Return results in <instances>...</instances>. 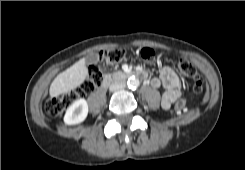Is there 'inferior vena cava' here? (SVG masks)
Listing matches in <instances>:
<instances>
[{"label": "inferior vena cava", "instance_id": "602c4592", "mask_svg": "<svg viewBox=\"0 0 245 170\" xmlns=\"http://www.w3.org/2000/svg\"><path fill=\"white\" fill-rule=\"evenodd\" d=\"M125 86V81H115L113 83L110 84L109 86V90L114 92V91H118L120 89H122Z\"/></svg>", "mask_w": 245, "mask_h": 170}]
</instances>
